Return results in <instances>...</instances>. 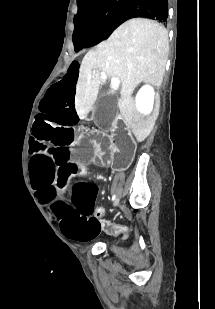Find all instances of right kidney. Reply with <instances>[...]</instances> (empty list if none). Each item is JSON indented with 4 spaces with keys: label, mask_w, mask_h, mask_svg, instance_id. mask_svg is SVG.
<instances>
[{
    "label": "right kidney",
    "mask_w": 215,
    "mask_h": 309,
    "mask_svg": "<svg viewBox=\"0 0 215 309\" xmlns=\"http://www.w3.org/2000/svg\"><path fill=\"white\" fill-rule=\"evenodd\" d=\"M154 94V88L149 86V84H145V86H142L139 92H137L136 106L140 112H143V114L151 112L153 108Z\"/></svg>",
    "instance_id": "right-kidney-1"
}]
</instances>
